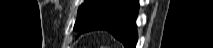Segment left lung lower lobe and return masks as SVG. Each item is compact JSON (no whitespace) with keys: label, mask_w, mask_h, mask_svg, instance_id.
Listing matches in <instances>:
<instances>
[{"label":"left lung lower lobe","mask_w":213,"mask_h":48,"mask_svg":"<svg viewBox=\"0 0 213 48\" xmlns=\"http://www.w3.org/2000/svg\"><path fill=\"white\" fill-rule=\"evenodd\" d=\"M138 8V0H115L109 6L98 11L82 32L106 30L121 41L125 48H135Z\"/></svg>","instance_id":"1"}]
</instances>
